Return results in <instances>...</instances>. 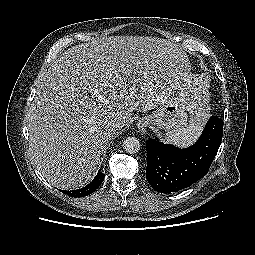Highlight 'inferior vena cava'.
Here are the masks:
<instances>
[{
    "label": "inferior vena cava",
    "instance_id": "inferior-vena-cava-1",
    "mask_svg": "<svg viewBox=\"0 0 255 255\" xmlns=\"http://www.w3.org/2000/svg\"><path fill=\"white\" fill-rule=\"evenodd\" d=\"M109 126L111 128L112 131H115L116 128L119 127V121L117 118H114L112 119L110 122H109Z\"/></svg>",
    "mask_w": 255,
    "mask_h": 255
}]
</instances>
